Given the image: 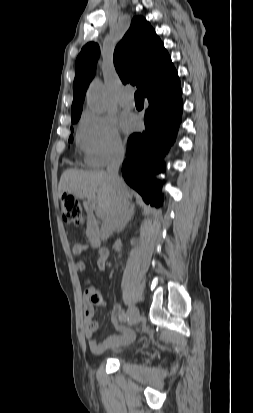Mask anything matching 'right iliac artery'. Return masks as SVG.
Masks as SVG:
<instances>
[{
    "label": "right iliac artery",
    "mask_w": 253,
    "mask_h": 413,
    "mask_svg": "<svg viewBox=\"0 0 253 413\" xmlns=\"http://www.w3.org/2000/svg\"><path fill=\"white\" fill-rule=\"evenodd\" d=\"M119 319L122 320V321H126V320H128V315L125 312H122L119 315Z\"/></svg>",
    "instance_id": "right-iliac-artery-1"
}]
</instances>
